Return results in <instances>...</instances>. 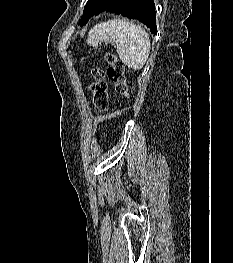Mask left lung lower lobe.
Wrapping results in <instances>:
<instances>
[{
  "mask_svg": "<svg viewBox=\"0 0 233 263\" xmlns=\"http://www.w3.org/2000/svg\"><path fill=\"white\" fill-rule=\"evenodd\" d=\"M105 11L137 19L157 34L156 12L153 0H116Z\"/></svg>",
  "mask_w": 233,
  "mask_h": 263,
  "instance_id": "left-lung-lower-lobe-1",
  "label": "left lung lower lobe"
}]
</instances>
